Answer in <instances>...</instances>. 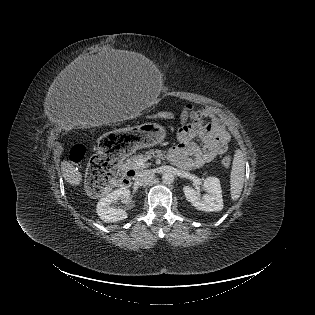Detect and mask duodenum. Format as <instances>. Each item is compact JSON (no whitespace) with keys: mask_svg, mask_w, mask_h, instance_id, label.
I'll return each mask as SVG.
<instances>
[{"mask_svg":"<svg viewBox=\"0 0 315 315\" xmlns=\"http://www.w3.org/2000/svg\"><path fill=\"white\" fill-rule=\"evenodd\" d=\"M135 171L127 166L122 167V175L117 181L119 187H129L131 185L132 179L135 176Z\"/></svg>","mask_w":315,"mask_h":315,"instance_id":"obj_1","label":"duodenum"}]
</instances>
